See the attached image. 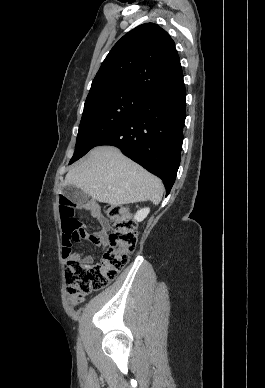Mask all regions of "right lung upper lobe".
<instances>
[{"label": "right lung upper lobe", "mask_w": 265, "mask_h": 388, "mask_svg": "<svg viewBox=\"0 0 265 388\" xmlns=\"http://www.w3.org/2000/svg\"><path fill=\"white\" fill-rule=\"evenodd\" d=\"M183 79L180 59L170 35L154 23L137 26L111 49L89 94L102 90L140 96Z\"/></svg>", "instance_id": "1"}]
</instances>
